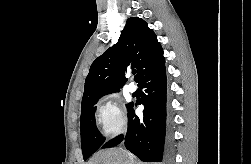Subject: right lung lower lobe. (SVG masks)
Returning a JSON list of instances; mask_svg holds the SVG:
<instances>
[{"label":"right lung lower lobe","mask_w":251,"mask_h":164,"mask_svg":"<svg viewBox=\"0 0 251 164\" xmlns=\"http://www.w3.org/2000/svg\"><path fill=\"white\" fill-rule=\"evenodd\" d=\"M164 64L146 73L138 82V85L144 89L139 102L144 105L143 119L135 115L133 103L128 105V131L125 136V145L143 162H162L171 158ZM123 140V135H119L103 143L101 148L114 147Z\"/></svg>","instance_id":"1"}]
</instances>
